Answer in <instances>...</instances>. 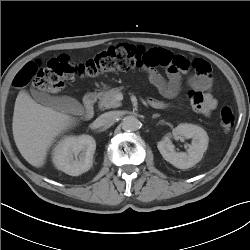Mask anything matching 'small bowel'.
Returning <instances> with one entry per match:
<instances>
[{
	"label": "small bowel",
	"instance_id": "c3829d8e",
	"mask_svg": "<svg viewBox=\"0 0 250 250\" xmlns=\"http://www.w3.org/2000/svg\"><path fill=\"white\" fill-rule=\"evenodd\" d=\"M209 79L210 73L205 69H201L199 73L191 76L188 82L193 89H200ZM149 80L154 86L157 87V89L165 98L173 99L178 96L181 90L182 74L181 70L169 72L167 78H165L158 71L152 69L149 71ZM156 101L159 102L160 109H165L169 106V103L167 102L159 100ZM217 104L218 101L215 97H213L212 94L204 93V99L201 102L193 103L192 108L197 113L203 114L204 116H210Z\"/></svg>",
	"mask_w": 250,
	"mask_h": 250
}]
</instances>
